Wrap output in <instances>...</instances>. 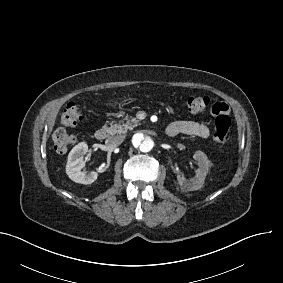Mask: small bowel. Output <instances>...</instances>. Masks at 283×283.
<instances>
[{
    "label": "small bowel",
    "mask_w": 283,
    "mask_h": 283,
    "mask_svg": "<svg viewBox=\"0 0 283 283\" xmlns=\"http://www.w3.org/2000/svg\"><path fill=\"white\" fill-rule=\"evenodd\" d=\"M230 110L231 105L228 102L213 103L208 108V117L211 120H216L220 115L227 114ZM167 131L170 135L183 134L199 138H207L210 135V129L205 123L191 120L174 122L167 127Z\"/></svg>",
    "instance_id": "1"
}]
</instances>
